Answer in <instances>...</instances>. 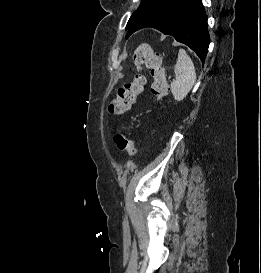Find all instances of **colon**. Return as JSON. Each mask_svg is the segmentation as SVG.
<instances>
[{"instance_id": "colon-1", "label": "colon", "mask_w": 261, "mask_h": 273, "mask_svg": "<svg viewBox=\"0 0 261 273\" xmlns=\"http://www.w3.org/2000/svg\"><path fill=\"white\" fill-rule=\"evenodd\" d=\"M132 62L138 69L141 66L149 69L153 79L151 93L158 101H161L168 92L162 55L156 52L150 45L141 44L134 50ZM144 85L145 77L137 71L130 81L125 82L118 89L116 96L109 104V112L113 115H120L127 112L134 104L137 96L142 93ZM114 143L120 151H126L130 155L137 153L134 141L121 132H117L114 135Z\"/></svg>"}]
</instances>
